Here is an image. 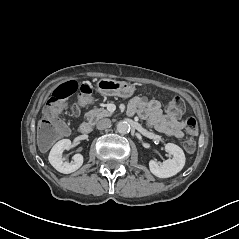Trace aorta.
<instances>
[{
  "label": "aorta",
  "instance_id": "762f6f07",
  "mask_svg": "<svg viewBox=\"0 0 239 239\" xmlns=\"http://www.w3.org/2000/svg\"><path fill=\"white\" fill-rule=\"evenodd\" d=\"M129 124L125 121H120L117 123V131L121 134H126L129 131Z\"/></svg>",
  "mask_w": 239,
  "mask_h": 239
}]
</instances>
